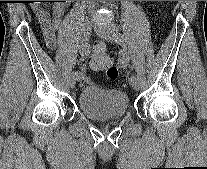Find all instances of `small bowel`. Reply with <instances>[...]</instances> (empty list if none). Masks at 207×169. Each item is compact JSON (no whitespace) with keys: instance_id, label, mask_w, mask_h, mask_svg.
I'll list each match as a JSON object with an SVG mask.
<instances>
[{"instance_id":"small-bowel-1","label":"small bowel","mask_w":207,"mask_h":169,"mask_svg":"<svg viewBox=\"0 0 207 169\" xmlns=\"http://www.w3.org/2000/svg\"><path fill=\"white\" fill-rule=\"evenodd\" d=\"M64 13V7L62 5H56L52 10V15L44 8L35 9V15L39 22L40 30L45 45L48 49L54 50L57 43L56 30L61 24V17ZM102 46V44H98ZM80 73V72H79ZM83 76L82 73H80Z\"/></svg>"}]
</instances>
